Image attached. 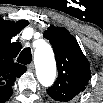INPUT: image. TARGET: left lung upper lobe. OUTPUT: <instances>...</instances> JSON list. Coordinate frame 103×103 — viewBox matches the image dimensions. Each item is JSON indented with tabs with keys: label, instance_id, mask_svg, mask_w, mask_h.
I'll return each mask as SVG.
<instances>
[{
	"label": "left lung upper lobe",
	"instance_id": "5c2ea615",
	"mask_svg": "<svg viewBox=\"0 0 103 103\" xmlns=\"http://www.w3.org/2000/svg\"><path fill=\"white\" fill-rule=\"evenodd\" d=\"M44 37L53 47L58 66V78L47 92L55 100L70 101L88 85L89 62L67 29L52 25L44 32Z\"/></svg>",
	"mask_w": 103,
	"mask_h": 103
}]
</instances>
